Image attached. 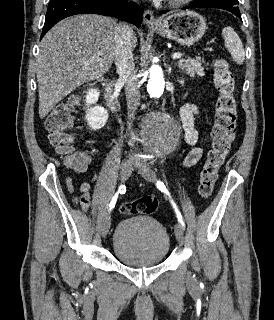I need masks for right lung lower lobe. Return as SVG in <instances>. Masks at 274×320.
Instances as JSON below:
<instances>
[{
    "label": "right lung lower lobe",
    "instance_id": "obj_1",
    "mask_svg": "<svg viewBox=\"0 0 274 320\" xmlns=\"http://www.w3.org/2000/svg\"><path fill=\"white\" fill-rule=\"evenodd\" d=\"M126 0H50L41 38L60 20L82 13L114 16L140 27L143 9Z\"/></svg>",
    "mask_w": 274,
    "mask_h": 320
}]
</instances>
